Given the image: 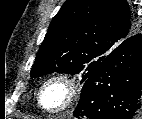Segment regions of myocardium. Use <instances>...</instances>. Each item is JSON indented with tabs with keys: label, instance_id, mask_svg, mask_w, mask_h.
Wrapping results in <instances>:
<instances>
[{
	"label": "myocardium",
	"instance_id": "f54148a6",
	"mask_svg": "<svg viewBox=\"0 0 142 119\" xmlns=\"http://www.w3.org/2000/svg\"><path fill=\"white\" fill-rule=\"evenodd\" d=\"M53 85H60L65 92L64 99L57 106H47L44 103V94ZM79 93L78 83L72 76L67 74L52 75L42 84L37 95L39 107L46 113L58 114L68 110L76 101Z\"/></svg>",
	"mask_w": 142,
	"mask_h": 119
}]
</instances>
